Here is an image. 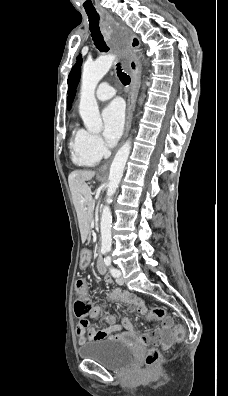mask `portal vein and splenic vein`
I'll list each match as a JSON object with an SVG mask.
<instances>
[{
    "mask_svg": "<svg viewBox=\"0 0 228 396\" xmlns=\"http://www.w3.org/2000/svg\"><path fill=\"white\" fill-rule=\"evenodd\" d=\"M91 226L94 227V221L91 223Z\"/></svg>",
    "mask_w": 228,
    "mask_h": 396,
    "instance_id": "portal-vein-and-splenic-vein-1",
    "label": "portal vein and splenic vein"
}]
</instances>
